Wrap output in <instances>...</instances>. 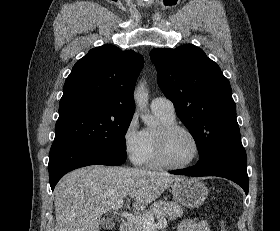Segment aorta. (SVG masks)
I'll return each mask as SVG.
<instances>
[{"label": "aorta", "mask_w": 280, "mask_h": 231, "mask_svg": "<svg viewBox=\"0 0 280 231\" xmlns=\"http://www.w3.org/2000/svg\"><path fill=\"white\" fill-rule=\"evenodd\" d=\"M146 82H140L138 88H136L134 92V100L137 108H139L141 112V119L146 123V125H150V127H157L159 121L156 117L151 116L149 114L148 106V94L145 88Z\"/></svg>", "instance_id": "762f6f07"}]
</instances>
